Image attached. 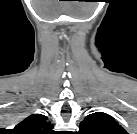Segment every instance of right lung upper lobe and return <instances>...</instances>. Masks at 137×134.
Instances as JSON below:
<instances>
[{"label":"right lung upper lobe","mask_w":137,"mask_h":134,"mask_svg":"<svg viewBox=\"0 0 137 134\" xmlns=\"http://www.w3.org/2000/svg\"><path fill=\"white\" fill-rule=\"evenodd\" d=\"M53 124L42 114H32L20 122L14 132L17 134H53Z\"/></svg>","instance_id":"1"}]
</instances>
